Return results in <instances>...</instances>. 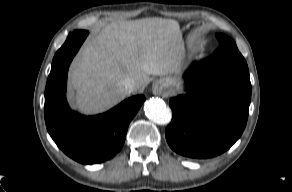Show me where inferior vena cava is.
<instances>
[{
    "label": "inferior vena cava",
    "instance_id": "1",
    "mask_svg": "<svg viewBox=\"0 0 292 192\" xmlns=\"http://www.w3.org/2000/svg\"><path fill=\"white\" fill-rule=\"evenodd\" d=\"M121 85L126 94H130L135 90V81L134 79L127 77L122 82Z\"/></svg>",
    "mask_w": 292,
    "mask_h": 192
}]
</instances>
